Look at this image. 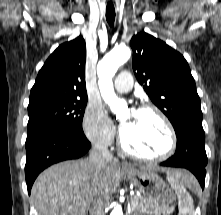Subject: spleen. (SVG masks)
<instances>
[{"mask_svg": "<svg viewBox=\"0 0 221 215\" xmlns=\"http://www.w3.org/2000/svg\"><path fill=\"white\" fill-rule=\"evenodd\" d=\"M168 181L178 196L179 215H194L193 199L186 190V187H195L196 181L194 177L187 173L183 178L179 179L171 176Z\"/></svg>", "mask_w": 221, "mask_h": 215, "instance_id": "obj_1", "label": "spleen"}]
</instances>
